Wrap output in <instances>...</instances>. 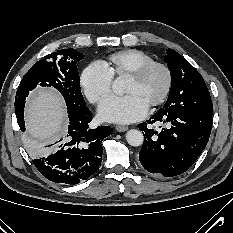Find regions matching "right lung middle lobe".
<instances>
[{"label":"right lung middle lobe","instance_id":"obj_1","mask_svg":"<svg viewBox=\"0 0 233 233\" xmlns=\"http://www.w3.org/2000/svg\"><path fill=\"white\" fill-rule=\"evenodd\" d=\"M84 59V55L74 49H62L53 54L45 56L34 64L23 77L15 98V111H23L25 99L29 91L37 85L49 86L58 89L64 96L68 109H81L86 107L85 100L81 93L80 77L77 69V62ZM25 131V128H21ZM56 144V143H54ZM52 143L41 147L48 152L55 146ZM28 148L37 149L34 142Z\"/></svg>","mask_w":233,"mask_h":233}]
</instances>
